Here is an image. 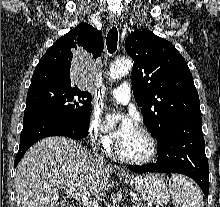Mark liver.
I'll return each mask as SVG.
<instances>
[{
  "label": "liver",
  "mask_w": 220,
  "mask_h": 207,
  "mask_svg": "<svg viewBox=\"0 0 220 207\" xmlns=\"http://www.w3.org/2000/svg\"><path fill=\"white\" fill-rule=\"evenodd\" d=\"M113 171L73 139L44 138L26 152L17 166V207H55L61 187H74L86 196L97 195L106 188Z\"/></svg>",
  "instance_id": "obj_1"
}]
</instances>
